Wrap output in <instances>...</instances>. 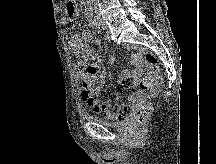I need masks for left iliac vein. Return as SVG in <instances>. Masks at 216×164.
Segmentation results:
<instances>
[{"mask_svg": "<svg viewBox=\"0 0 216 164\" xmlns=\"http://www.w3.org/2000/svg\"><path fill=\"white\" fill-rule=\"evenodd\" d=\"M100 22H101V25H102L103 28H106V27H107V25H106V23H105L104 20L101 19Z\"/></svg>", "mask_w": 216, "mask_h": 164, "instance_id": "left-iliac-vein-1", "label": "left iliac vein"}]
</instances>
